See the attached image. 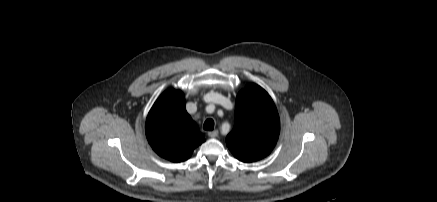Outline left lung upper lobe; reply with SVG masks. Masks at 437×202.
Segmentation results:
<instances>
[{
  "instance_id": "1",
  "label": "left lung upper lobe",
  "mask_w": 437,
  "mask_h": 202,
  "mask_svg": "<svg viewBox=\"0 0 437 202\" xmlns=\"http://www.w3.org/2000/svg\"><path fill=\"white\" fill-rule=\"evenodd\" d=\"M280 120L269 94L256 84H248L236 98L235 124L226 138L233 155L242 162L266 157L275 147Z\"/></svg>"
}]
</instances>
